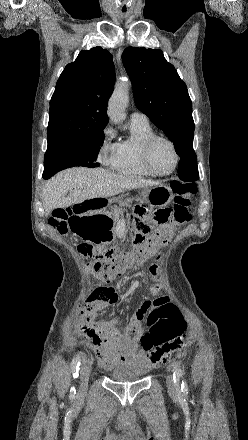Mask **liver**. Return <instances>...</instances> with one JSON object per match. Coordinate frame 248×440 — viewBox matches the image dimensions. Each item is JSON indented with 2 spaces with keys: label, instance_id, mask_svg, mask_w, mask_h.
Here are the masks:
<instances>
[{
  "label": "liver",
  "instance_id": "liver-1",
  "mask_svg": "<svg viewBox=\"0 0 248 440\" xmlns=\"http://www.w3.org/2000/svg\"><path fill=\"white\" fill-rule=\"evenodd\" d=\"M158 182L112 173L106 169L73 167L49 179L43 189L47 214L94 198H106L127 190L158 185ZM67 193H69L67 195Z\"/></svg>",
  "mask_w": 248,
  "mask_h": 440
}]
</instances>
